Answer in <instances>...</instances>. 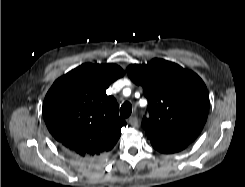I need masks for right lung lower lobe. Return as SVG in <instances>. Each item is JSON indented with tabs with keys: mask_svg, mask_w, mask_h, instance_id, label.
<instances>
[{
	"mask_svg": "<svg viewBox=\"0 0 245 187\" xmlns=\"http://www.w3.org/2000/svg\"><path fill=\"white\" fill-rule=\"evenodd\" d=\"M63 149H64L65 151H67L68 153L72 154L73 156H75V157L78 158V159L88 160V158H83V157L77 156V155L74 154L73 152H70L69 150L65 149L64 147H63Z\"/></svg>",
	"mask_w": 245,
	"mask_h": 187,
	"instance_id": "1",
	"label": "right lung lower lobe"
}]
</instances>
